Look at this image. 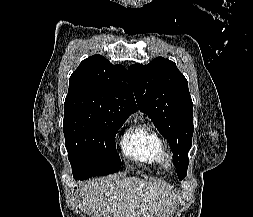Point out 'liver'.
<instances>
[{
  "mask_svg": "<svg viewBox=\"0 0 253 217\" xmlns=\"http://www.w3.org/2000/svg\"><path fill=\"white\" fill-rule=\"evenodd\" d=\"M79 194L92 217H170L177 199L159 182L118 175L87 181Z\"/></svg>",
  "mask_w": 253,
  "mask_h": 217,
  "instance_id": "1",
  "label": "liver"
}]
</instances>
